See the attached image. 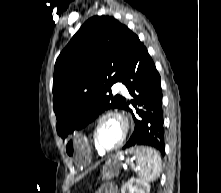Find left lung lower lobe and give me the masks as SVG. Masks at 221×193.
Listing matches in <instances>:
<instances>
[{"label": "left lung lower lobe", "mask_w": 221, "mask_h": 193, "mask_svg": "<svg viewBox=\"0 0 221 193\" xmlns=\"http://www.w3.org/2000/svg\"><path fill=\"white\" fill-rule=\"evenodd\" d=\"M160 80V75L146 47L140 43L122 79V83L134 98L131 103L139 106L136 108L137 115L133 114L134 132L123 149L148 145L155 147L164 155V120ZM128 104L130 102L126 101L124 109L131 112Z\"/></svg>", "instance_id": "obj_1"}]
</instances>
